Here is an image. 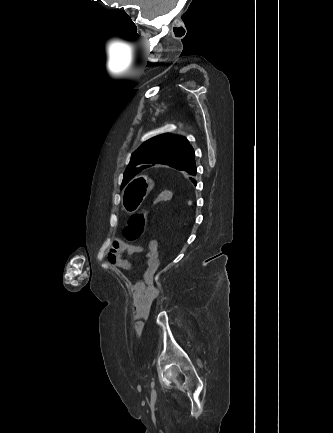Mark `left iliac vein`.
<instances>
[{
	"mask_svg": "<svg viewBox=\"0 0 333 433\" xmlns=\"http://www.w3.org/2000/svg\"><path fill=\"white\" fill-rule=\"evenodd\" d=\"M152 395H156V391L155 390H152Z\"/></svg>",
	"mask_w": 333,
	"mask_h": 433,
	"instance_id": "obj_1",
	"label": "left iliac vein"
}]
</instances>
